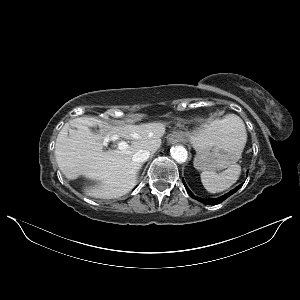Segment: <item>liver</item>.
Instances as JSON below:
<instances>
[{
	"label": "liver",
	"mask_w": 300,
	"mask_h": 300,
	"mask_svg": "<svg viewBox=\"0 0 300 300\" xmlns=\"http://www.w3.org/2000/svg\"><path fill=\"white\" fill-rule=\"evenodd\" d=\"M70 125L75 129L64 126L56 139L58 167L69 180L83 176L96 182L83 189L86 196L96 199L119 198L129 193L141 169L140 164L133 162V155L141 149L154 154L166 129L160 122L114 126L87 117L73 119ZM93 126L100 128L99 134L90 129ZM111 136L131 140V145L125 150L104 151V140Z\"/></svg>",
	"instance_id": "1"
}]
</instances>
